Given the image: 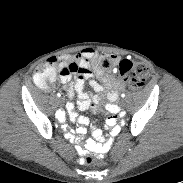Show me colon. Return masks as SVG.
Masks as SVG:
<instances>
[{"mask_svg": "<svg viewBox=\"0 0 183 183\" xmlns=\"http://www.w3.org/2000/svg\"><path fill=\"white\" fill-rule=\"evenodd\" d=\"M98 64L105 71H114L115 79L126 83L130 90L141 89L149 76V69L146 64L128 59H119L112 54H101L98 59ZM55 75L56 70L52 67H41L36 71L34 80L38 86L48 88L54 81ZM100 144L104 145V142ZM94 165L95 160L92 157H88V162L85 166L92 168Z\"/></svg>", "mask_w": 183, "mask_h": 183, "instance_id": "obj_1", "label": "colon"}]
</instances>
